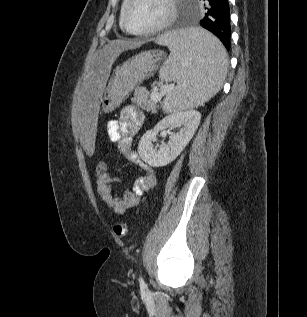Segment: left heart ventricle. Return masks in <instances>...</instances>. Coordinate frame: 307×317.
<instances>
[{
    "label": "left heart ventricle",
    "mask_w": 307,
    "mask_h": 317,
    "mask_svg": "<svg viewBox=\"0 0 307 317\" xmlns=\"http://www.w3.org/2000/svg\"><path fill=\"white\" fill-rule=\"evenodd\" d=\"M169 13L166 0H134L127 11V25L133 31H143L161 23Z\"/></svg>",
    "instance_id": "b2bd125f"
}]
</instances>
